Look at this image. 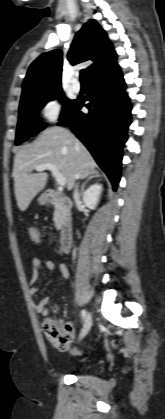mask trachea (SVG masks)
<instances>
[{
    "instance_id": "trachea-1",
    "label": "trachea",
    "mask_w": 165,
    "mask_h": 419,
    "mask_svg": "<svg viewBox=\"0 0 165 419\" xmlns=\"http://www.w3.org/2000/svg\"><path fill=\"white\" fill-rule=\"evenodd\" d=\"M80 81L85 83L87 81V70L83 69L80 72Z\"/></svg>"
}]
</instances>
